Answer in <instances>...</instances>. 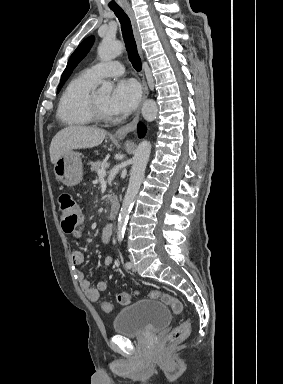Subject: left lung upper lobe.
<instances>
[{
    "instance_id": "obj_1",
    "label": "left lung upper lobe",
    "mask_w": 283,
    "mask_h": 384,
    "mask_svg": "<svg viewBox=\"0 0 283 384\" xmlns=\"http://www.w3.org/2000/svg\"><path fill=\"white\" fill-rule=\"evenodd\" d=\"M94 42V37L90 36L86 38L80 45L77 47V49L73 52L71 55L68 64L62 74L61 81L58 87V91L60 90L61 86L64 84V82L68 79L70 74L72 73L75 66L85 57V55L88 53L89 49L91 48L92 44Z\"/></svg>"
}]
</instances>
